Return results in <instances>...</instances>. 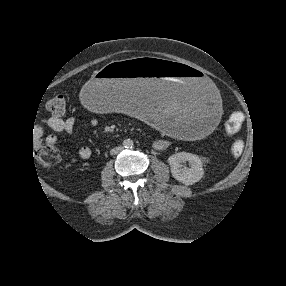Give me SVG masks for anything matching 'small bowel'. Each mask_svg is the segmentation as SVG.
<instances>
[{
	"label": "small bowel",
	"mask_w": 286,
	"mask_h": 286,
	"mask_svg": "<svg viewBox=\"0 0 286 286\" xmlns=\"http://www.w3.org/2000/svg\"><path fill=\"white\" fill-rule=\"evenodd\" d=\"M92 124L96 125L97 124L96 120H93ZM75 126H76V120L73 117L69 118L49 117L43 120L41 125L37 126L35 130V135L41 136L44 133L45 127H49L56 133H71L74 130ZM47 139L50 142L55 143L57 142V135L50 134L48 135ZM169 145L170 143L169 140L167 139H159L154 144L155 148L161 150L168 148ZM91 155H92V150L89 147L84 146L80 148L79 156L82 159H89Z\"/></svg>",
	"instance_id": "obj_1"
}]
</instances>
